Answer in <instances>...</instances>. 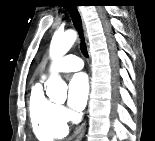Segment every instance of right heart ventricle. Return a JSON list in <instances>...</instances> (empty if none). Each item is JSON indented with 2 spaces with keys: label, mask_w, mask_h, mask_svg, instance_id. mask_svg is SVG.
<instances>
[{
  "label": "right heart ventricle",
  "mask_w": 155,
  "mask_h": 141,
  "mask_svg": "<svg viewBox=\"0 0 155 141\" xmlns=\"http://www.w3.org/2000/svg\"><path fill=\"white\" fill-rule=\"evenodd\" d=\"M28 109L37 139L51 141L66 136L68 127L60 115L59 106L44 94L41 82L31 89Z\"/></svg>",
  "instance_id": "right-heart-ventricle-1"
}]
</instances>
